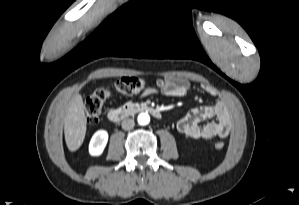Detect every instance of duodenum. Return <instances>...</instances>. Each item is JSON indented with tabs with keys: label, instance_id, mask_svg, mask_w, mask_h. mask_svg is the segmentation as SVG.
<instances>
[{
	"label": "duodenum",
	"instance_id": "obj_1",
	"mask_svg": "<svg viewBox=\"0 0 299 205\" xmlns=\"http://www.w3.org/2000/svg\"><path fill=\"white\" fill-rule=\"evenodd\" d=\"M137 113H148L157 118L161 117V112L152 106L146 104H126L121 107L111 109L108 112V118L112 122H119Z\"/></svg>",
	"mask_w": 299,
	"mask_h": 205
}]
</instances>
